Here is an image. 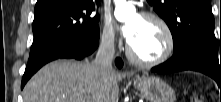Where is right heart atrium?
I'll return each mask as SVG.
<instances>
[{
    "label": "right heart atrium",
    "instance_id": "d8ad5b80",
    "mask_svg": "<svg viewBox=\"0 0 221 102\" xmlns=\"http://www.w3.org/2000/svg\"><path fill=\"white\" fill-rule=\"evenodd\" d=\"M100 44L103 48L112 50L117 44V37L112 20L105 17L102 21L100 32Z\"/></svg>",
    "mask_w": 221,
    "mask_h": 102
}]
</instances>
